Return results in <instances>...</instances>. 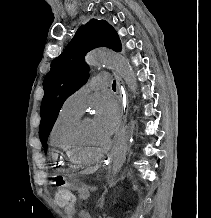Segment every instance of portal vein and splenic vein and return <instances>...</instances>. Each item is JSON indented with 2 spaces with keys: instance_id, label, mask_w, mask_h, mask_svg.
<instances>
[{
  "instance_id": "portal-vein-and-splenic-vein-1",
  "label": "portal vein and splenic vein",
  "mask_w": 211,
  "mask_h": 218,
  "mask_svg": "<svg viewBox=\"0 0 211 218\" xmlns=\"http://www.w3.org/2000/svg\"><path fill=\"white\" fill-rule=\"evenodd\" d=\"M97 188H98L97 186H92L91 191H97L98 190Z\"/></svg>"
}]
</instances>
